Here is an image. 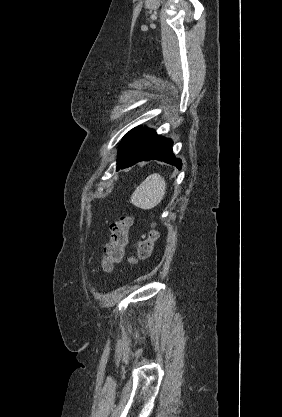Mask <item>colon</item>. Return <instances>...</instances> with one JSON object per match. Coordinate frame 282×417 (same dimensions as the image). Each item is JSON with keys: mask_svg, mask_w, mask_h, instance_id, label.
<instances>
[{"mask_svg": "<svg viewBox=\"0 0 282 417\" xmlns=\"http://www.w3.org/2000/svg\"><path fill=\"white\" fill-rule=\"evenodd\" d=\"M132 222L133 217L126 215L119 217L109 224L110 238L100 260L101 270L109 271L114 265L122 261ZM157 239V231L155 228H152L146 236L137 242L136 254L129 259V265L133 267L139 261L147 260L151 256Z\"/></svg>", "mask_w": 282, "mask_h": 417, "instance_id": "colon-1", "label": "colon"}]
</instances>
